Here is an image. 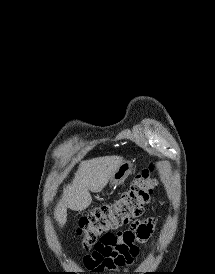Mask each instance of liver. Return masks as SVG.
I'll use <instances>...</instances> for the list:
<instances>
[{
    "mask_svg": "<svg viewBox=\"0 0 215 274\" xmlns=\"http://www.w3.org/2000/svg\"><path fill=\"white\" fill-rule=\"evenodd\" d=\"M123 162L120 156H104L82 161L71 184L63 189V194L55 209V219L63 227L67 219V208L82 211L92 201L91 192L98 193Z\"/></svg>",
    "mask_w": 215,
    "mask_h": 274,
    "instance_id": "liver-1",
    "label": "liver"
}]
</instances>
